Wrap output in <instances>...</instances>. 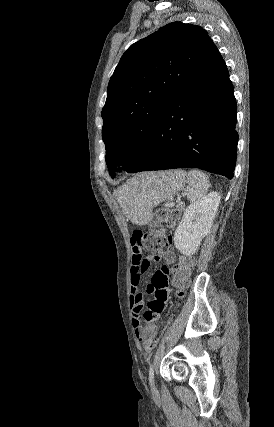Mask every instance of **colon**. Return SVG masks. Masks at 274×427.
I'll use <instances>...</instances> for the list:
<instances>
[{
    "label": "colon",
    "mask_w": 274,
    "mask_h": 427,
    "mask_svg": "<svg viewBox=\"0 0 274 427\" xmlns=\"http://www.w3.org/2000/svg\"><path fill=\"white\" fill-rule=\"evenodd\" d=\"M177 218L175 208L169 206H161L153 212L152 222L148 228L143 232L144 244L141 245L144 251L152 250V248H168V241L166 239V232L169 228H172ZM163 225L166 226L164 228ZM193 264L192 258H184L181 262L175 264L173 270L174 286L177 291V295H180L182 290L186 287L189 274L190 266ZM177 307L176 304H173ZM159 319V318H158ZM159 330H154L151 337L144 341V350H155L156 346L160 345ZM139 364H148V355L138 356Z\"/></svg>",
    "instance_id": "obj_1"
}]
</instances>
